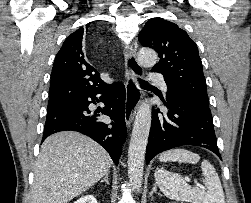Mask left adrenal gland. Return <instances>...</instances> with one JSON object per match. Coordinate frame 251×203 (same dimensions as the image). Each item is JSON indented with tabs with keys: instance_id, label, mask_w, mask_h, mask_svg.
Here are the masks:
<instances>
[{
	"instance_id": "1",
	"label": "left adrenal gland",
	"mask_w": 251,
	"mask_h": 203,
	"mask_svg": "<svg viewBox=\"0 0 251 203\" xmlns=\"http://www.w3.org/2000/svg\"><path fill=\"white\" fill-rule=\"evenodd\" d=\"M156 192H157V187H156V184H154L150 195H152L153 193H156Z\"/></svg>"
}]
</instances>
